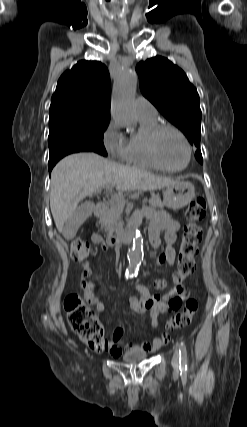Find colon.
<instances>
[{
    "label": "colon",
    "mask_w": 247,
    "mask_h": 427,
    "mask_svg": "<svg viewBox=\"0 0 247 427\" xmlns=\"http://www.w3.org/2000/svg\"><path fill=\"white\" fill-rule=\"evenodd\" d=\"M205 216V200L203 198L193 200L186 210V224L182 233L177 269L172 276L175 285L183 284L185 279L195 270L194 257L198 252V243L201 238L199 222ZM70 252L73 260L84 262L96 252V249L84 239L74 237L70 243ZM157 286L164 287L165 281H157ZM198 307L196 298L188 299L185 308L170 319L168 327L176 330L189 325L197 314ZM64 309L70 327L89 348L95 351H102L107 348L108 341L105 338L103 326L96 319L85 299L77 294H69L65 297Z\"/></svg>",
    "instance_id": "5ec220e1"
}]
</instances>
